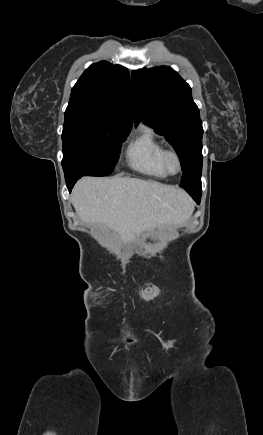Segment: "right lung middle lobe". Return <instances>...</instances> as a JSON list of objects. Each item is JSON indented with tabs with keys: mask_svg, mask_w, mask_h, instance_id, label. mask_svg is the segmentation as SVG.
I'll return each mask as SVG.
<instances>
[{
	"mask_svg": "<svg viewBox=\"0 0 263 435\" xmlns=\"http://www.w3.org/2000/svg\"><path fill=\"white\" fill-rule=\"evenodd\" d=\"M130 130L83 112L65 114L62 133L65 179L107 176L118 161L121 143Z\"/></svg>",
	"mask_w": 263,
	"mask_h": 435,
	"instance_id": "1",
	"label": "right lung middle lobe"
}]
</instances>
